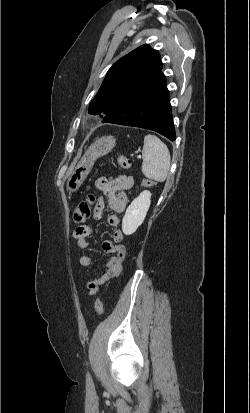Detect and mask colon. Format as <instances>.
<instances>
[{"mask_svg": "<svg viewBox=\"0 0 250 413\" xmlns=\"http://www.w3.org/2000/svg\"><path fill=\"white\" fill-rule=\"evenodd\" d=\"M118 163L123 169H130L131 167V161L125 157V156H119L118 157ZM157 184V181L155 178H148L147 180L142 181V185L148 186V187H155ZM95 195L94 194H88L86 198L81 201L74 209L73 213V219L76 223H83L91 215V210L92 206L95 203ZM94 308L96 311L97 315H101L103 313V303L100 298H96L95 303H94Z\"/></svg>", "mask_w": 250, "mask_h": 413, "instance_id": "5ec220e1", "label": "colon"}]
</instances>
